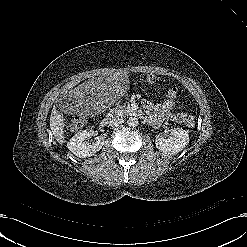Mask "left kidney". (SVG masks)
I'll list each match as a JSON object with an SVG mask.
<instances>
[{
    "mask_svg": "<svg viewBox=\"0 0 247 247\" xmlns=\"http://www.w3.org/2000/svg\"><path fill=\"white\" fill-rule=\"evenodd\" d=\"M168 137L159 136L155 140L156 147L163 153L175 155L182 151L189 143V135L186 130L172 128L167 131Z\"/></svg>",
    "mask_w": 247,
    "mask_h": 247,
    "instance_id": "obj_1",
    "label": "left kidney"
}]
</instances>
